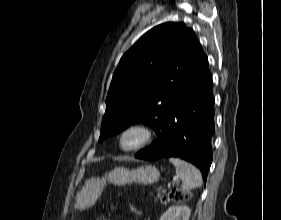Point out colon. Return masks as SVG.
Masks as SVG:
<instances>
[{
    "label": "colon",
    "mask_w": 281,
    "mask_h": 220,
    "mask_svg": "<svg viewBox=\"0 0 281 220\" xmlns=\"http://www.w3.org/2000/svg\"><path fill=\"white\" fill-rule=\"evenodd\" d=\"M189 197H190V194L184 190H174V191L170 192L169 194H167L163 198V200L164 201L173 200V201H177V202H182V201H186ZM99 220H101V219H99Z\"/></svg>",
    "instance_id": "colon-1"
}]
</instances>
